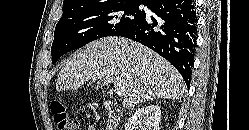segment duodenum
<instances>
[{
  "label": "duodenum",
  "mask_w": 249,
  "mask_h": 130,
  "mask_svg": "<svg viewBox=\"0 0 249 130\" xmlns=\"http://www.w3.org/2000/svg\"><path fill=\"white\" fill-rule=\"evenodd\" d=\"M105 107L108 113L105 130H119V124L122 117L121 108L113 102H106Z\"/></svg>",
  "instance_id": "410a0bca"
}]
</instances>
